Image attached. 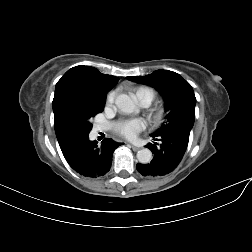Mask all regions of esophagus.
<instances>
[{"mask_svg": "<svg viewBox=\"0 0 252 252\" xmlns=\"http://www.w3.org/2000/svg\"><path fill=\"white\" fill-rule=\"evenodd\" d=\"M131 147H132V149H133L134 151H138V150L140 149L139 146H135V145H131Z\"/></svg>", "mask_w": 252, "mask_h": 252, "instance_id": "34e87169", "label": "esophagus"}]
</instances>
